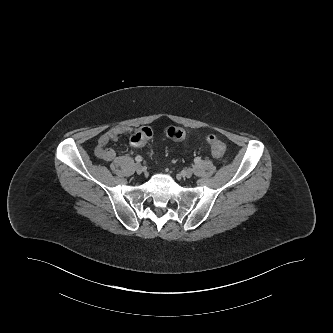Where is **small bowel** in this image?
Segmentation results:
<instances>
[{
    "label": "small bowel",
    "instance_id": "c3829d8e",
    "mask_svg": "<svg viewBox=\"0 0 333 333\" xmlns=\"http://www.w3.org/2000/svg\"><path fill=\"white\" fill-rule=\"evenodd\" d=\"M132 132L133 129L127 126H115L109 129L99 137L94 150L95 155L106 162L113 161L116 157V153L113 149L107 147V145L112 141L131 135Z\"/></svg>",
    "mask_w": 333,
    "mask_h": 333
}]
</instances>
